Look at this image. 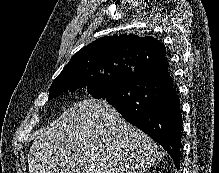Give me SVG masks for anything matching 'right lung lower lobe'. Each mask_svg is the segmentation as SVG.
Segmentation results:
<instances>
[{
    "mask_svg": "<svg viewBox=\"0 0 219 173\" xmlns=\"http://www.w3.org/2000/svg\"><path fill=\"white\" fill-rule=\"evenodd\" d=\"M105 100L157 141L180 169L182 115L166 60L139 64L120 79Z\"/></svg>",
    "mask_w": 219,
    "mask_h": 173,
    "instance_id": "obj_1",
    "label": "right lung lower lobe"
}]
</instances>
